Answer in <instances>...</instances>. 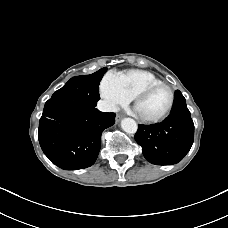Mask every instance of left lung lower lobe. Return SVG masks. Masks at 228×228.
<instances>
[{
  "mask_svg": "<svg viewBox=\"0 0 228 228\" xmlns=\"http://www.w3.org/2000/svg\"><path fill=\"white\" fill-rule=\"evenodd\" d=\"M135 140L152 164L171 165L182 160L193 144L194 124L179 90L174 94L170 115L161 123L138 125Z\"/></svg>",
  "mask_w": 228,
  "mask_h": 228,
  "instance_id": "0a47b994",
  "label": "left lung lower lobe"
}]
</instances>
